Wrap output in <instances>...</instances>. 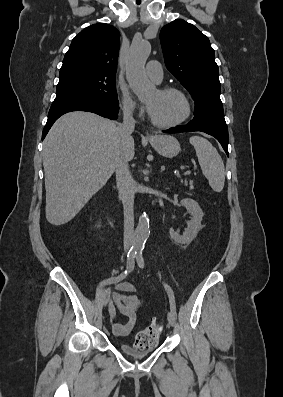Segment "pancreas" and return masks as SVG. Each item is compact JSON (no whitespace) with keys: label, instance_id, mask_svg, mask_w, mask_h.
Here are the masks:
<instances>
[{"label":"pancreas","instance_id":"cf45deb5","mask_svg":"<svg viewBox=\"0 0 283 397\" xmlns=\"http://www.w3.org/2000/svg\"><path fill=\"white\" fill-rule=\"evenodd\" d=\"M182 182H183V181H182ZM183 183H184L185 186H187V185L189 184V189H190V190H192V189L194 188V187H193V182H192V181H190V182L188 183V181L185 180Z\"/></svg>","mask_w":283,"mask_h":397}]
</instances>
